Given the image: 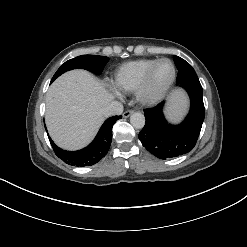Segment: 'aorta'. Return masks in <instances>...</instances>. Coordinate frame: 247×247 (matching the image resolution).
Returning <instances> with one entry per match:
<instances>
[{
    "mask_svg": "<svg viewBox=\"0 0 247 247\" xmlns=\"http://www.w3.org/2000/svg\"><path fill=\"white\" fill-rule=\"evenodd\" d=\"M130 123L132 124L133 127L137 129H141L145 125V117L142 113L135 112L130 117Z\"/></svg>",
    "mask_w": 247,
    "mask_h": 247,
    "instance_id": "1",
    "label": "aorta"
}]
</instances>
